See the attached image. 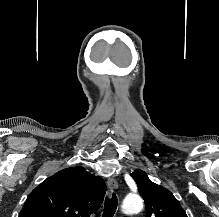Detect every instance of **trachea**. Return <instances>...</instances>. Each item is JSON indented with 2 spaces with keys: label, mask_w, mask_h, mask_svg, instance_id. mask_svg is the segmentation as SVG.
I'll return each instance as SVG.
<instances>
[{
  "label": "trachea",
  "mask_w": 219,
  "mask_h": 217,
  "mask_svg": "<svg viewBox=\"0 0 219 217\" xmlns=\"http://www.w3.org/2000/svg\"><path fill=\"white\" fill-rule=\"evenodd\" d=\"M117 209V197L113 193L111 198L106 197L103 217H113Z\"/></svg>",
  "instance_id": "3493384b"
}]
</instances>
